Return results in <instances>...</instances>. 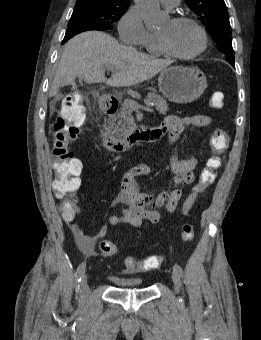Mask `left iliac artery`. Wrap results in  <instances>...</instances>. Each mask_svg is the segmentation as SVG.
I'll return each mask as SVG.
<instances>
[{"mask_svg":"<svg viewBox=\"0 0 261 340\" xmlns=\"http://www.w3.org/2000/svg\"><path fill=\"white\" fill-rule=\"evenodd\" d=\"M173 270L179 275V276H183V269L181 268L180 265L175 264L173 266Z\"/></svg>","mask_w":261,"mask_h":340,"instance_id":"44dca946","label":"left iliac artery"}]
</instances>
